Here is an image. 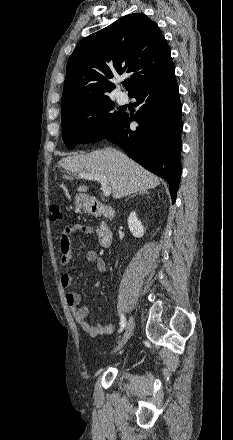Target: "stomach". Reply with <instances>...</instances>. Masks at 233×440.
<instances>
[{"instance_id": "stomach-1", "label": "stomach", "mask_w": 233, "mask_h": 440, "mask_svg": "<svg viewBox=\"0 0 233 440\" xmlns=\"http://www.w3.org/2000/svg\"><path fill=\"white\" fill-rule=\"evenodd\" d=\"M75 205L84 211H89L91 208V198L85 194H77Z\"/></svg>"}]
</instances>
